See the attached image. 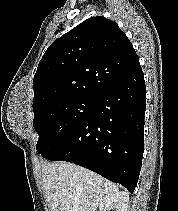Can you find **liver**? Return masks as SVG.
I'll return each instance as SVG.
<instances>
[{"instance_id": "6515ba94", "label": "liver", "mask_w": 178, "mask_h": 211, "mask_svg": "<svg viewBox=\"0 0 178 211\" xmlns=\"http://www.w3.org/2000/svg\"><path fill=\"white\" fill-rule=\"evenodd\" d=\"M50 211H96L118 186L95 172L69 162H52L42 169Z\"/></svg>"}]
</instances>
